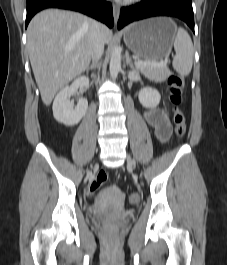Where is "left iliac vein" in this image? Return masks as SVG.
<instances>
[{
    "mask_svg": "<svg viewBox=\"0 0 227 265\" xmlns=\"http://www.w3.org/2000/svg\"><path fill=\"white\" fill-rule=\"evenodd\" d=\"M127 162H128V165L134 166V161L131 159L129 155L127 156Z\"/></svg>",
    "mask_w": 227,
    "mask_h": 265,
    "instance_id": "left-iliac-vein-1",
    "label": "left iliac vein"
}]
</instances>
